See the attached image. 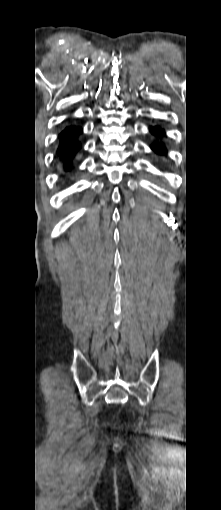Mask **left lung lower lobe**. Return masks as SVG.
I'll return each instance as SVG.
<instances>
[{
  "instance_id": "1",
  "label": "left lung lower lobe",
  "mask_w": 221,
  "mask_h": 510,
  "mask_svg": "<svg viewBox=\"0 0 221 510\" xmlns=\"http://www.w3.org/2000/svg\"><path fill=\"white\" fill-rule=\"evenodd\" d=\"M150 132L156 136H162L164 135V132L163 130H161L160 128L158 127H153V128H150ZM151 148L159 153V154H165L166 150L164 148V145L163 144H159V145H152Z\"/></svg>"
}]
</instances>
